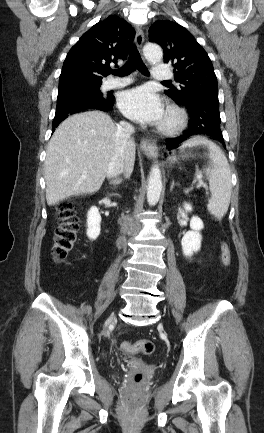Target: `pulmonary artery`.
Masks as SVG:
<instances>
[{
  "mask_svg": "<svg viewBox=\"0 0 264 433\" xmlns=\"http://www.w3.org/2000/svg\"><path fill=\"white\" fill-rule=\"evenodd\" d=\"M152 78L154 80H168L172 78V71L164 66L156 65L153 68ZM130 82L128 78L111 79L105 82L106 89H115L127 85Z\"/></svg>",
  "mask_w": 264,
  "mask_h": 433,
  "instance_id": "1",
  "label": "pulmonary artery"
}]
</instances>
